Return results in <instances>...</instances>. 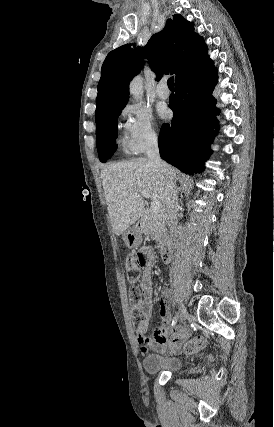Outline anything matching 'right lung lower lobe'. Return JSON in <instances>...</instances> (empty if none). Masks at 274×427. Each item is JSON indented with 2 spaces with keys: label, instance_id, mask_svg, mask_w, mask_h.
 I'll list each match as a JSON object with an SVG mask.
<instances>
[{
  "label": "right lung lower lobe",
  "instance_id": "1",
  "mask_svg": "<svg viewBox=\"0 0 274 427\" xmlns=\"http://www.w3.org/2000/svg\"><path fill=\"white\" fill-rule=\"evenodd\" d=\"M216 83L213 61L175 82L176 94L169 104L174 117L171 123L162 125L158 143L161 158L186 174L203 171V163L211 153L209 145L218 127V109L212 96Z\"/></svg>",
  "mask_w": 274,
  "mask_h": 427
}]
</instances>
